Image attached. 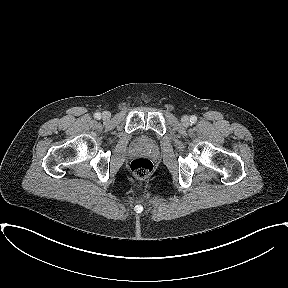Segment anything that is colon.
<instances>
[{"label":"colon","instance_id":"1","mask_svg":"<svg viewBox=\"0 0 288 288\" xmlns=\"http://www.w3.org/2000/svg\"><path fill=\"white\" fill-rule=\"evenodd\" d=\"M130 169L137 179L143 180L153 171V163L147 158H136L131 162Z\"/></svg>","mask_w":288,"mask_h":288}]
</instances>
